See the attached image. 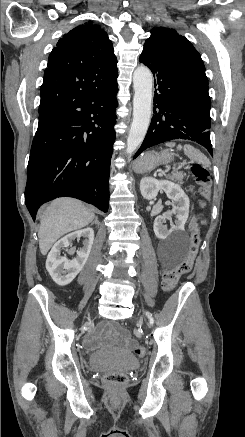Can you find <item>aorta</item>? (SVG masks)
I'll use <instances>...</instances> for the list:
<instances>
[{
    "instance_id": "1",
    "label": "aorta",
    "mask_w": 245,
    "mask_h": 437,
    "mask_svg": "<svg viewBox=\"0 0 245 437\" xmlns=\"http://www.w3.org/2000/svg\"><path fill=\"white\" fill-rule=\"evenodd\" d=\"M153 77L144 65L133 74V121L127 138L126 153L132 154L143 142L151 119Z\"/></svg>"
}]
</instances>
